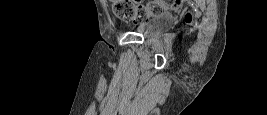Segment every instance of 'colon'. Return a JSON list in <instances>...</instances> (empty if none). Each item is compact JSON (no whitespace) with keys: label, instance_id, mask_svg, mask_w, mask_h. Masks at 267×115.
Here are the masks:
<instances>
[{"label":"colon","instance_id":"colon-1","mask_svg":"<svg viewBox=\"0 0 267 115\" xmlns=\"http://www.w3.org/2000/svg\"><path fill=\"white\" fill-rule=\"evenodd\" d=\"M112 10L114 14L122 21L141 23L150 17L164 12L163 5L159 3H150L147 5L134 4L128 0H113Z\"/></svg>","mask_w":267,"mask_h":115}]
</instances>
